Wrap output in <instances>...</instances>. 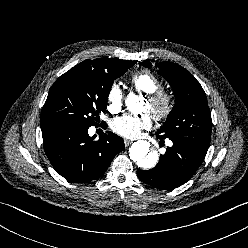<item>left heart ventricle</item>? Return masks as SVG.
I'll return each instance as SVG.
<instances>
[{
	"label": "left heart ventricle",
	"instance_id": "left-heart-ventricle-1",
	"mask_svg": "<svg viewBox=\"0 0 248 248\" xmlns=\"http://www.w3.org/2000/svg\"><path fill=\"white\" fill-rule=\"evenodd\" d=\"M144 111L145 112H151V106H150L148 101H146V103H145Z\"/></svg>",
	"mask_w": 248,
	"mask_h": 248
}]
</instances>
